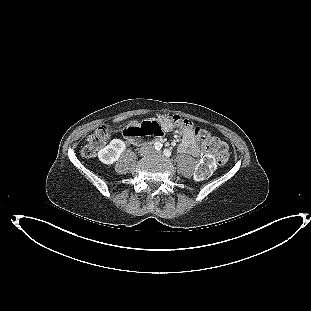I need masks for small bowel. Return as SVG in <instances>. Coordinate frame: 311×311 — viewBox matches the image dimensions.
<instances>
[{
	"instance_id": "1",
	"label": "small bowel",
	"mask_w": 311,
	"mask_h": 311,
	"mask_svg": "<svg viewBox=\"0 0 311 311\" xmlns=\"http://www.w3.org/2000/svg\"><path fill=\"white\" fill-rule=\"evenodd\" d=\"M158 121L162 130H171L174 128V124L169 117L160 116L158 117ZM178 150L181 153L193 156H198L200 154V150L195 143L194 133L191 129L183 130V140L179 145Z\"/></svg>"
}]
</instances>
